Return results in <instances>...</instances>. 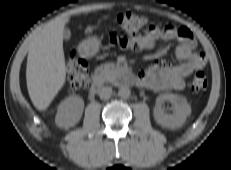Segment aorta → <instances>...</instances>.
Instances as JSON below:
<instances>
[{
    "mask_svg": "<svg viewBox=\"0 0 231 170\" xmlns=\"http://www.w3.org/2000/svg\"><path fill=\"white\" fill-rule=\"evenodd\" d=\"M131 95L130 89L128 87H121L118 90V96L123 98V99H127L129 98Z\"/></svg>",
    "mask_w": 231,
    "mask_h": 170,
    "instance_id": "1",
    "label": "aorta"
}]
</instances>
